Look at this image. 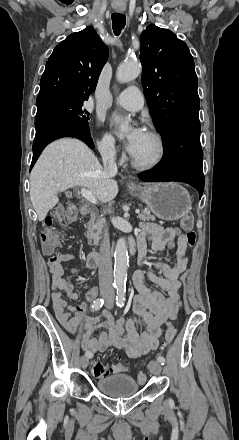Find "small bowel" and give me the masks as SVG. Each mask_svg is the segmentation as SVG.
<instances>
[{
  "instance_id": "small-bowel-1",
  "label": "small bowel",
  "mask_w": 239,
  "mask_h": 440,
  "mask_svg": "<svg viewBox=\"0 0 239 440\" xmlns=\"http://www.w3.org/2000/svg\"><path fill=\"white\" fill-rule=\"evenodd\" d=\"M175 238L177 242L173 265L155 261L153 265L159 271L160 276L148 269L134 273L133 283L138 294L133 300V310L144 323L145 329L141 330L136 320L129 319L126 322V333L122 317L115 320L114 315L109 311L97 317H90L84 313L83 304H72L78 294L73 290L70 280L64 277L62 263L76 262V259L72 254L60 252H55L50 256L48 264L52 277L51 289L54 291L52 299L56 316L68 332L76 334L82 331L81 346L85 352L93 356L97 352L114 348L123 350L130 358H138L158 348L161 326L170 325L177 318L181 308L180 276L187 268L190 244L187 236L179 234L175 228L154 223H144L137 239L140 264L145 267L148 242L153 251H160L168 244L174 246ZM77 265L82 268L78 263ZM147 281L157 284L164 293L149 289L146 286ZM92 295L93 291L89 290L87 297ZM70 312H73L74 316H71ZM98 328L104 330L95 338L93 334Z\"/></svg>"
}]
</instances>
